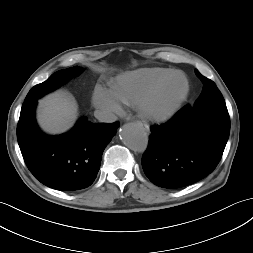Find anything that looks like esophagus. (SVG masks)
I'll list each match as a JSON object with an SVG mask.
<instances>
[{"label": "esophagus", "mask_w": 253, "mask_h": 253, "mask_svg": "<svg viewBox=\"0 0 253 253\" xmlns=\"http://www.w3.org/2000/svg\"><path fill=\"white\" fill-rule=\"evenodd\" d=\"M141 128H143L146 132H149V126L145 123L139 122Z\"/></svg>", "instance_id": "esophagus-1"}]
</instances>
